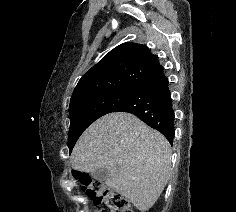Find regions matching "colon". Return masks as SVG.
I'll return each instance as SVG.
<instances>
[{
  "label": "colon",
  "instance_id": "obj_1",
  "mask_svg": "<svg viewBox=\"0 0 236 212\" xmlns=\"http://www.w3.org/2000/svg\"><path fill=\"white\" fill-rule=\"evenodd\" d=\"M80 189L96 204L105 207L102 212H132L128 200L113 192L101 181L87 173L74 174Z\"/></svg>",
  "mask_w": 236,
  "mask_h": 212
}]
</instances>
